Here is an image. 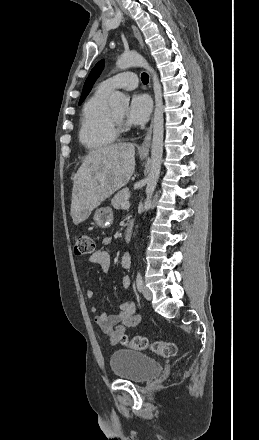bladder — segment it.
Wrapping results in <instances>:
<instances>
[{"instance_id":"31cf9c89","label":"bladder","mask_w":259,"mask_h":440,"mask_svg":"<svg viewBox=\"0 0 259 440\" xmlns=\"http://www.w3.org/2000/svg\"><path fill=\"white\" fill-rule=\"evenodd\" d=\"M113 374L123 380L143 383L158 376L162 364L149 355L133 349H120L110 357Z\"/></svg>"}]
</instances>
